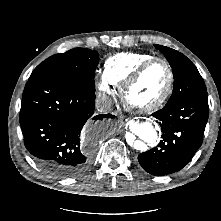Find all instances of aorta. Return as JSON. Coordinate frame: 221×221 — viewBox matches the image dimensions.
Listing matches in <instances>:
<instances>
[{"label": "aorta", "instance_id": "762f6f07", "mask_svg": "<svg viewBox=\"0 0 221 221\" xmlns=\"http://www.w3.org/2000/svg\"><path fill=\"white\" fill-rule=\"evenodd\" d=\"M131 131L138 139L135 140L134 135L128 133L126 140L127 143L136 150L144 151L146 150L145 143H153L156 141L157 131L150 122H134L131 126Z\"/></svg>", "mask_w": 221, "mask_h": 221}]
</instances>
